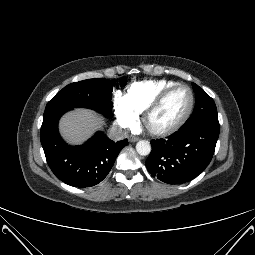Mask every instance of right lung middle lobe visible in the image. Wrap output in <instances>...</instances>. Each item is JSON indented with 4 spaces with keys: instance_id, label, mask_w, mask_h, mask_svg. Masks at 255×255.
Instances as JSON below:
<instances>
[{
    "instance_id": "obj_1",
    "label": "right lung middle lobe",
    "mask_w": 255,
    "mask_h": 255,
    "mask_svg": "<svg viewBox=\"0 0 255 255\" xmlns=\"http://www.w3.org/2000/svg\"><path fill=\"white\" fill-rule=\"evenodd\" d=\"M114 82L105 78L71 83L59 91L47 104L45 111L59 108H90L110 116Z\"/></svg>"
}]
</instances>
